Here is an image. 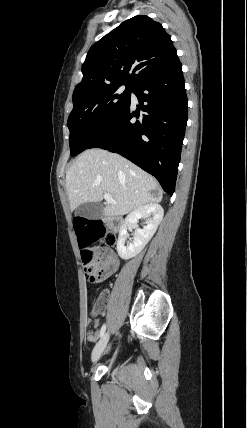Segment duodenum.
I'll list each match as a JSON object with an SVG mask.
<instances>
[{
  "label": "duodenum",
  "mask_w": 247,
  "mask_h": 428,
  "mask_svg": "<svg viewBox=\"0 0 247 428\" xmlns=\"http://www.w3.org/2000/svg\"><path fill=\"white\" fill-rule=\"evenodd\" d=\"M105 221L110 228H112L113 230H116V231L119 230L123 225L122 218H120L118 216L107 217L105 219Z\"/></svg>",
  "instance_id": "410a0bca"
}]
</instances>
